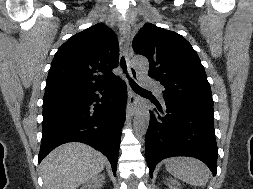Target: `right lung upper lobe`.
I'll return each mask as SVG.
<instances>
[{
	"label": "right lung upper lobe",
	"instance_id": "cb5924a9",
	"mask_svg": "<svg viewBox=\"0 0 253 189\" xmlns=\"http://www.w3.org/2000/svg\"><path fill=\"white\" fill-rule=\"evenodd\" d=\"M119 46L103 23L79 32L60 46L52 61L45 93L108 85L116 80Z\"/></svg>",
	"mask_w": 253,
	"mask_h": 189
}]
</instances>
